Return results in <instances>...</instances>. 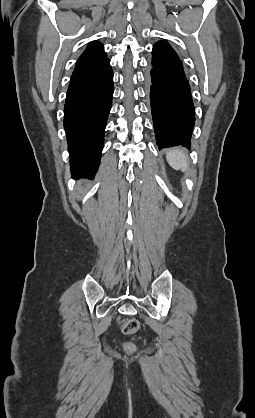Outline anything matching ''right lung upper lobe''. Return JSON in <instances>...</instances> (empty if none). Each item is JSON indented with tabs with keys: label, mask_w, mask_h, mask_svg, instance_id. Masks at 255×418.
Segmentation results:
<instances>
[{
	"label": "right lung upper lobe",
	"mask_w": 255,
	"mask_h": 418,
	"mask_svg": "<svg viewBox=\"0 0 255 418\" xmlns=\"http://www.w3.org/2000/svg\"><path fill=\"white\" fill-rule=\"evenodd\" d=\"M105 56L106 53L104 52L103 45L99 42L93 41L87 46L86 50L79 57L76 64L92 62Z\"/></svg>",
	"instance_id": "right-lung-upper-lobe-1"
}]
</instances>
